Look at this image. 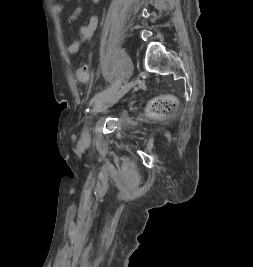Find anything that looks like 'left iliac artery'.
Returning <instances> with one entry per match:
<instances>
[{"instance_id": "1", "label": "left iliac artery", "mask_w": 253, "mask_h": 267, "mask_svg": "<svg viewBox=\"0 0 253 267\" xmlns=\"http://www.w3.org/2000/svg\"><path fill=\"white\" fill-rule=\"evenodd\" d=\"M121 87V79H118L111 87H108L106 88L105 90H103L102 92L98 93L97 95H95L90 103L93 104V103H97L99 102L106 94L114 91V90H117Z\"/></svg>"}]
</instances>
